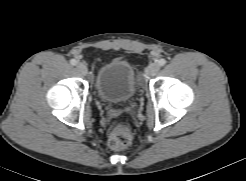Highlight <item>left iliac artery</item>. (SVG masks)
Masks as SVG:
<instances>
[{
    "label": "left iliac artery",
    "instance_id": "obj_1",
    "mask_svg": "<svg viewBox=\"0 0 246 181\" xmlns=\"http://www.w3.org/2000/svg\"><path fill=\"white\" fill-rule=\"evenodd\" d=\"M166 62L167 61L165 59H163V58H161L160 60H158L159 66H164L166 64Z\"/></svg>",
    "mask_w": 246,
    "mask_h": 181
}]
</instances>
